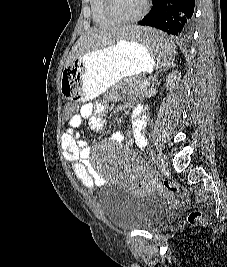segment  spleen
Wrapping results in <instances>:
<instances>
[{
	"mask_svg": "<svg viewBox=\"0 0 227 267\" xmlns=\"http://www.w3.org/2000/svg\"><path fill=\"white\" fill-rule=\"evenodd\" d=\"M120 30H130V33L125 34V41L147 47L153 63H159V67H170L173 64V55H177L175 38H167L165 31L143 25H120Z\"/></svg>",
	"mask_w": 227,
	"mask_h": 267,
	"instance_id": "spleen-1",
	"label": "spleen"
}]
</instances>
